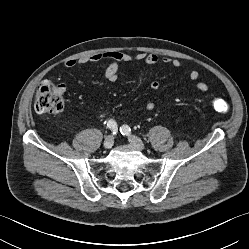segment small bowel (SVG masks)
<instances>
[{
  "label": "small bowel",
  "mask_w": 249,
  "mask_h": 249,
  "mask_svg": "<svg viewBox=\"0 0 249 249\" xmlns=\"http://www.w3.org/2000/svg\"><path fill=\"white\" fill-rule=\"evenodd\" d=\"M109 61V64L107 65L105 71H104V79L110 82H115L118 80L120 76V64H130V63H145L148 65H155L160 62H163L165 64H170L172 67L179 69L182 67V61L177 58H171V57H163L160 58L156 54H148L146 52H139L134 55H130L128 53L119 51V50H112L102 53H96L90 56H84L81 57L78 60H68L66 61L65 65L68 68H73L77 65H86L89 63H96L100 61ZM200 77V73L192 69L189 72V79L193 82H195V89L200 92H207L209 90V83L207 79H204L203 81H198ZM160 88V83L158 81H152L150 83V89L152 91H158ZM65 86L62 85V92L64 91ZM146 110L151 111L155 108V103L153 101H149L145 105Z\"/></svg>",
  "instance_id": "obj_1"
}]
</instances>
